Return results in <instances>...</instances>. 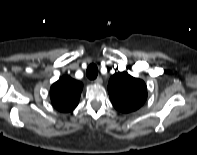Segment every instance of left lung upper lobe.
<instances>
[{"label":"left lung upper lobe","instance_id":"obj_1","mask_svg":"<svg viewBox=\"0 0 197 155\" xmlns=\"http://www.w3.org/2000/svg\"><path fill=\"white\" fill-rule=\"evenodd\" d=\"M108 93L117 110L129 113L144 104L147 98V87L143 80L134 78L127 72H118L109 80Z\"/></svg>","mask_w":197,"mask_h":155}]
</instances>
